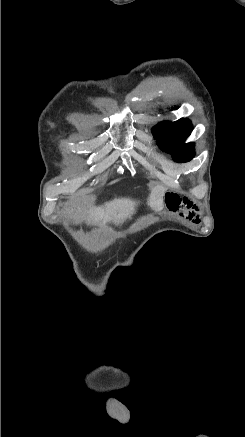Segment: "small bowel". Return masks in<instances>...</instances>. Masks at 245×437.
<instances>
[{
  "mask_svg": "<svg viewBox=\"0 0 245 437\" xmlns=\"http://www.w3.org/2000/svg\"><path fill=\"white\" fill-rule=\"evenodd\" d=\"M165 200V206L169 211L192 221L198 220V206L192 200L176 193H168Z\"/></svg>",
  "mask_w": 245,
  "mask_h": 437,
  "instance_id": "small-bowel-1",
  "label": "small bowel"
}]
</instances>
